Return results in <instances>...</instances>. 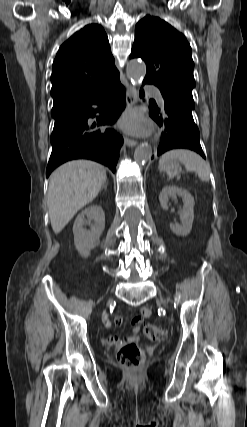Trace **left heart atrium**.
I'll return each mask as SVG.
<instances>
[{
    "instance_id": "1",
    "label": "left heart atrium",
    "mask_w": 247,
    "mask_h": 427,
    "mask_svg": "<svg viewBox=\"0 0 247 427\" xmlns=\"http://www.w3.org/2000/svg\"><path fill=\"white\" fill-rule=\"evenodd\" d=\"M121 126L134 134L145 135L150 131L149 123L136 111L130 112L121 121Z\"/></svg>"
}]
</instances>
